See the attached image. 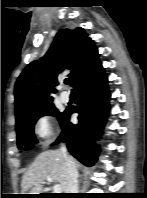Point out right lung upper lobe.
Returning <instances> with one entry per match:
<instances>
[{"mask_svg": "<svg viewBox=\"0 0 147 198\" xmlns=\"http://www.w3.org/2000/svg\"><path fill=\"white\" fill-rule=\"evenodd\" d=\"M98 51L84 29H60L47 54L30 63L15 84L16 123L25 116L52 104L49 92H55L57 75L70 69L75 87L99 63Z\"/></svg>", "mask_w": 147, "mask_h": 198, "instance_id": "obj_1", "label": "right lung upper lobe"}]
</instances>
